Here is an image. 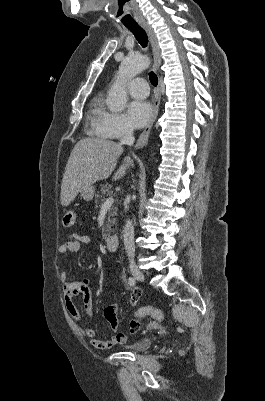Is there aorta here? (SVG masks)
I'll return each instance as SVG.
<instances>
[{"label":"aorta","instance_id":"aorta-1","mask_svg":"<svg viewBox=\"0 0 265 401\" xmlns=\"http://www.w3.org/2000/svg\"><path fill=\"white\" fill-rule=\"evenodd\" d=\"M143 58L144 56H141L140 62H137L136 58H132V56L131 58L122 60L118 74L112 86L109 88L108 98L106 100L107 106L112 112L123 110L127 102L126 82L147 66V62H141Z\"/></svg>","mask_w":265,"mask_h":401}]
</instances>
